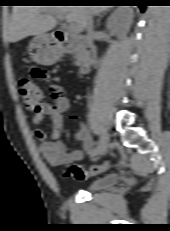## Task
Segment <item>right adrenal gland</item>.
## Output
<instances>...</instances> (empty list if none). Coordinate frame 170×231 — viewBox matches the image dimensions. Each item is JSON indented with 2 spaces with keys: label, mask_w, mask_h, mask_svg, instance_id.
Instances as JSON below:
<instances>
[{
  "label": "right adrenal gland",
  "mask_w": 170,
  "mask_h": 231,
  "mask_svg": "<svg viewBox=\"0 0 170 231\" xmlns=\"http://www.w3.org/2000/svg\"><path fill=\"white\" fill-rule=\"evenodd\" d=\"M106 11L102 15H100V17L98 18V20H97V26H99L100 19L106 14Z\"/></svg>",
  "instance_id": "obj_1"
}]
</instances>
